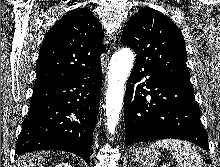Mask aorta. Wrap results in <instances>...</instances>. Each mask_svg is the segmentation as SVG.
I'll use <instances>...</instances> for the list:
<instances>
[{
  "mask_svg": "<svg viewBox=\"0 0 220 167\" xmlns=\"http://www.w3.org/2000/svg\"><path fill=\"white\" fill-rule=\"evenodd\" d=\"M134 64V54L129 48H122L113 54L109 73L108 90L106 94V117L108 132L114 134L124 99L125 82Z\"/></svg>",
  "mask_w": 220,
  "mask_h": 167,
  "instance_id": "obj_1",
  "label": "aorta"
}]
</instances>
